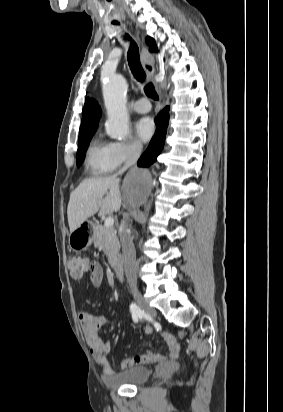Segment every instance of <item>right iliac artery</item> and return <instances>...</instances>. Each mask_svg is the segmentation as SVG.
<instances>
[{"mask_svg":"<svg viewBox=\"0 0 283 412\" xmlns=\"http://www.w3.org/2000/svg\"><path fill=\"white\" fill-rule=\"evenodd\" d=\"M130 311L132 313V318H133L134 322H138L139 319H142L146 316L144 310H142L135 303H132L130 305Z\"/></svg>","mask_w":283,"mask_h":412,"instance_id":"1","label":"right iliac artery"}]
</instances>
